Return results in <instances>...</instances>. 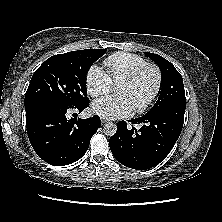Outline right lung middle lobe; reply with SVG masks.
Listing matches in <instances>:
<instances>
[{"label":"right lung middle lobe","mask_w":222,"mask_h":222,"mask_svg":"<svg viewBox=\"0 0 222 222\" xmlns=\"http://www.w3.org/2000/svg\"><path fill=\"white\" fill-rule=\"evenodd\" d=\"M106 49H85L54 55L33 74L25 95V108L54 101L76 105L88 101L86 75Z\"/></svg>","instance_id":"1"}]
</instances>
